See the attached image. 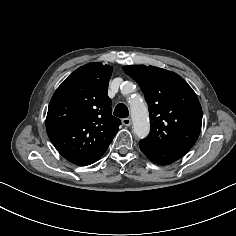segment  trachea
I'll return each mask as SVG.
<instances>
[{
	"label": "trachea",
	"instance_id": "3493384b",
	"mask_svg": "<svg viewBox=\"0 0 236 236\" xmlns=\"http://www.w3.org/2000/svg\"><path fill=\"white\" fill-rule=\"evenodd\" d=\"M113 114L119 118H126L129 115V111L125 104L120 103L115 107Z\"/></svg>",
	"mask_w": 236,
	"mask_h": 236
}]
</instances>
